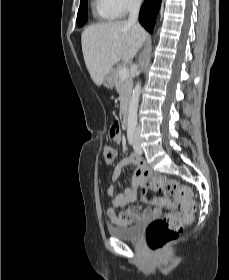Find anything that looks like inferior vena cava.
Listing matches in <instances>:
<instances>
[{
    "mask_svg": "<svg viewBox=\"0 0 229 280\" xmlns=\"http://www.w3.org/2000/svg\"><path fill=\"white\" fill-rule=\"evenodd\" d=\"M141 0H131L129 5V24H136L138 21L139 10H140ZM136 133H139V128L136 130Z\"/></svg>",
    "mask_w": 229,
    "mask_h": 280,
    "instance_id": "inferior-vena-cava-1",
    "label": "inferior vena cava"
}]
</instances>
